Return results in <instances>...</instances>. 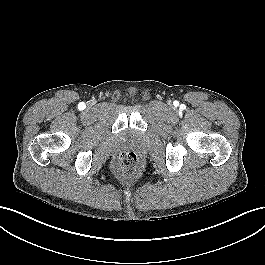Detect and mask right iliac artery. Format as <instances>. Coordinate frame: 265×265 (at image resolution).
I'll list each match as a JSON object with an SVG mask.
<instances>
[{
	"label": "right iliac artery",
	"mask_w": 265,
	"mask_h": 265,
	"mask_svg": "<svg viewBox=\"0 0 265 265\" xmlns=\"http://www.w3.org/2000/svg\"><path fill=\"white\" fill-rule=\"evenodd\" d=\"M78 108L80 110H83L85 108V103H83V102L79 103Z\"/></svg>",
	"instance_id": "right-iliac-artery-1"
}]
</instances>
